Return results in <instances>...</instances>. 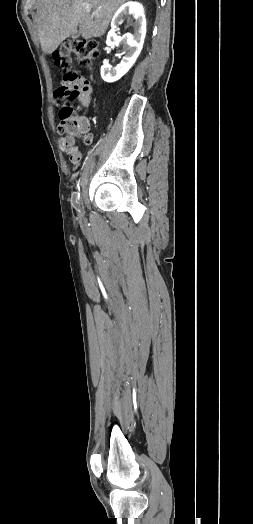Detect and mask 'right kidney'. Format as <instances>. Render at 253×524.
Wrapping results in <instances>:
<instances>
[{"label":"right kidney","instance_id":"ca27d5eb","mask_svg":"<svg viewBox=\"0 0 253 524\" xmlns=\"http://www.w3.org/2000/svg\"><path fill=\"white\" fill-rule=\"evenodd\" d=\"M133 17L134 33H127L123 36H117L115 33L118 24L125 17ZM146 35V19L143 6L139 2H128L121 6L111 21V30L107 35L106 44L108 46H122L123 58L120 64L111 68L108 64L101 67V77L106 82H114L125 75L133 66L139 56Z\"/></svg>","mask_w":253,"mask_h":524}]
</instances>
